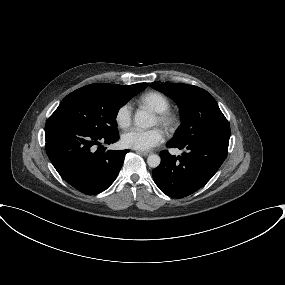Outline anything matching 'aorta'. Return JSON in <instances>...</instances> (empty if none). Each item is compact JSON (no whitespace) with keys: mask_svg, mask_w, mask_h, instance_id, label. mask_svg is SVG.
<instances>
[{"mask_svg":"<svg viewBox=\"0 0 285 285\" xmlns=\"http://www.w3.org/2000/svg\"><path fill=\"white\" fill-rule=\"evenodd\" d=\"M134 123L138 128L146 129L154 125L153 116L145 110H138L134 117ZM161 158L157 154H151L147 158V163L151 168H156L160 165Z\"/></svg>","mask_w":285,"mask_h":285,"instance_id":"obj_1","label":"aorta"}]
</instances>
